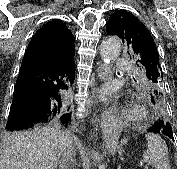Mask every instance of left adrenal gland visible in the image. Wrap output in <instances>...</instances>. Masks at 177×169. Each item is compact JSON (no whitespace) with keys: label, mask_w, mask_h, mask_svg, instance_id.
<instances>
[{"label":"left adrenal gland","mask_w":177,"mask_h":169,"mask_svg":"<svg viewBox=\"0 0 177 169\" xmlns=\"http://www.w3.org/2000/svg\"><path fill=\"white\" fill-rule=\"evenodd\" d=\"M117 169H121V165L119 164L118 168Z\"/></svg>","instance_id":"obj_1"}]
</instances>
